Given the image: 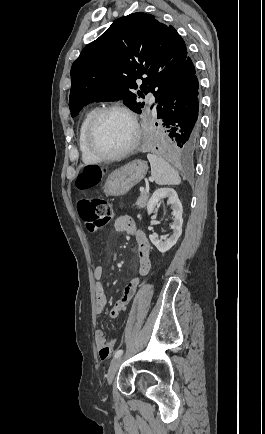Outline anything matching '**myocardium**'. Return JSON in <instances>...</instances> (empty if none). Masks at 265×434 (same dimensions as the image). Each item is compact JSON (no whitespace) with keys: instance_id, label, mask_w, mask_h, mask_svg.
<instances>
[{"instance_id":"obj_1","label":"myocardium","mask_w":265,"mask_h":434,"mask_svg":"<svg viewBox=\"0 0 265 434\" xmlns=\"http://www.w3.org/2000/svg\"><path fill=\"white\" fill-rule=\"evenodd\" d=\"M120 111L126 114L132 122L134 128V137L131 145L124 151L117 154L106 152L99 144L97 136L99 133V125L103 116L109 112ZM141 138V130L135 114L126 106L121 104H112L103 106L95 112L89 126L87 136V144L91 153L101 161H118L131 155L138 147Z\"/></svg>"}]
</instances>
